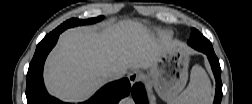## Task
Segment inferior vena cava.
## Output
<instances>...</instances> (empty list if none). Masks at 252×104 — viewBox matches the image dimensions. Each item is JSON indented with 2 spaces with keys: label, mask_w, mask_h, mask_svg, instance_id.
<instances>
[{
  "label": "inferior vena cava",
  "mask_w": 252,
  "mask_h": 104,
  "mask_svg": "<svg viewBox=\"0 0 252 104\" xmlns=\"http://www.w3.org/2000/svg\"><path fill=\"white\" fill-rule=\"evenodd\" d=\"M124 74L125 72L121 70H108L107 72H105V76L108 79H112V80L119 79L123 77Z\"/></svg>",
  "instance_id": "inferior-vena-cava-1"
}]
</instances>
